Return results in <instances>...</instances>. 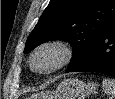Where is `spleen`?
Returning <instances> with one entry per match:
<instances>
[{"label":"spleen","instance_id":"obj_1","mask_svg":"<svg viewBox=\"0 0 115 99\" xmlns=\"http://www.w3.org/2000/svg\"><path fill=\"white\" fill-rule=\"evenodd\" d=\"M102 84L104 92L115 98V80L104 79Z\"/></svg>","mask_w":115,"mask_h":99}]
</instances>
